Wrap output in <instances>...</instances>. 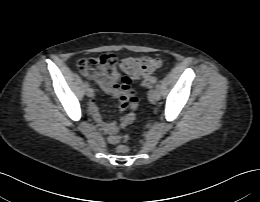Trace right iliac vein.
Returning <instances> with one entry per match:
<instances>
[{
	"label": "right iliac vein",
	"mask_w": 260,
	"mask_h": 202,
	"mask_svg": "<svg viewBox=\"0 0 260 202\" xmlns=\"http://www.w3.org/2000/svg\"><path fill=\"white\" fill-rule=\"evenodd\" d=\"M86 94H87L88 97H93V95H94L93 89L92 88H87L86 89Z\"/></svg>",
	"instance_id": "right-iliac-vein-1"
}]
</instances>
